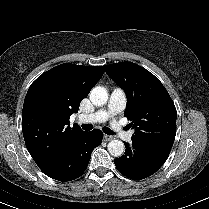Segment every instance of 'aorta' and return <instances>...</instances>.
Masks as SVG:
<instances>
[{"instance_id":"obj_1","label":"aorta","mask_w":209,"mask_h":209,"mask_svg":"<svg viewBox=\"0 0 209 209\" xmlns=\"http://www.w3.org/2000/svg\"><path fill=\"white\" fill-rule=\"evenodd\" d=\"M108 100V92L106 88L97 86L90 92V101L95 106H102ZM108 151L114 157H120L125 152V145L122 141L114 139L108 143Z\"/></svg>"}]
</instances>
